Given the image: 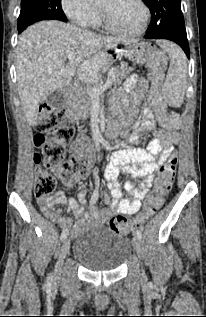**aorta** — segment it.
<instances>
[{"mask_svg":"<svg viewBox=\"0 0 206 317\" xmlns=\"http://www.w3.org/2000/svg\"><path fill=\"white\" fill-rule=\"evenodd\" d=\"M89 3L95 2L97 0H87Z\"/></svg>","mask_w":206,"mask_h":317,"instance_id":"762f6f07","label":"aorta"}]
</instances>
